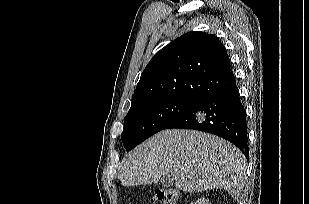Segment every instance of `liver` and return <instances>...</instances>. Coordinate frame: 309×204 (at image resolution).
<instances>
[{
	"instance_id": "obj_1",
	"label": "liver",
	"mask_w": 309,
	"mask_h": 204,
	"mask_svg": "<svg viewBox=\"0 0 309 204\" xmlns=\"http://www.w3.org/2000/svg\"><path fill=\"white\" fill-rule=\"evenodd\" d=\"M168 173L182 191L224 188L238 199L244 187L246 161L237 147L220 137L170 129L131 151L120 166L118 178L124 187L150 185Z\"/></svg>"
}]
</instances>
